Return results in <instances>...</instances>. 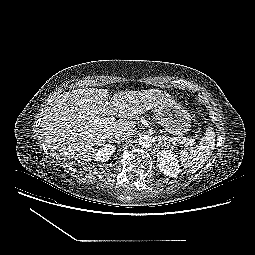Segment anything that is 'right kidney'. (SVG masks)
I'll list each match as a JSON object with an SVG mask.
<instances>
[{"label": "right kidney", "instance_id": "ca27d5eb", "mask_svg": "<svg viewBox=\"0 0 255 255\" xmlns=\"http://www.w3.org/2000/svg\"><path fill=\"white\" fill-rule=\"evenodd\" d=\"M115 150V146L106 144L102 148L98 149L95 153H93L92 159L98 162L108 161Z\"/></svg>", "mask_w": 255, "mask_h": 255}]
</instances>
